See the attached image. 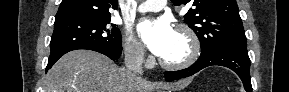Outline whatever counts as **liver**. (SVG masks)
<instances>
[{"instance_id": "1", "label": "liver", "mask_w": 289, "mask_h": 92, "mask_svg": "<svg viewBox=\"0 0 289 92\" xmlns=\"http://www.w3.org/2000/svg\"><path fill=\"white\" fill-rule=\"evenodd\" d=\"M184 83H151L118 67L105 55L74 50L63 55L48 71L43 92H153L159 87L175 91Z\"/></svg>"}]
</instances>
